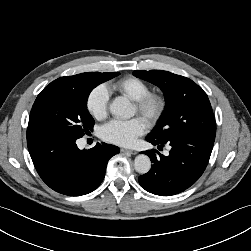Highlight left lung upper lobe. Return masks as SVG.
Listing matches in <instances>:
<instances>
[{"label": "left lung upper lobe", "mask_w": 251, "mask_h": 251, "mask_svg": "<svg viewBox=\"0 0 251 251\" xmlns=\"http://www.w3.org/2000/svg\"><path fill=\"white\" fill-rule=\"evenodd\" d=\"M133 74L158 86L167 103L159 125L148 138L164 143L183 134L216 133L207 94L192 80L161 70H140Z\"/></svg>", "instance_id": "left-lung-upper-lobe-1"}]
</instances>
